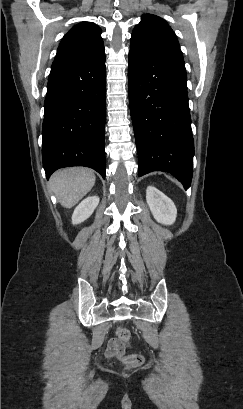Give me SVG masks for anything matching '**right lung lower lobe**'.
<instances>
[{
    "label": "right lung lower lobe",
    "mask_w": 243,
    "mask_h": 409,
    "mask_svg": "<svg viewBox=\"0 0 243 409\" xmlns=\"http://www.w3.org/2000/svg\"><path fill=\"white\" fill-rule=\"evenodd\" d=\"M43 167L86 166L106 175V67L104 48L51 69L44 103Z\"/></svg>",
    "instance_id": "98d812e1"
}]
</instances>
